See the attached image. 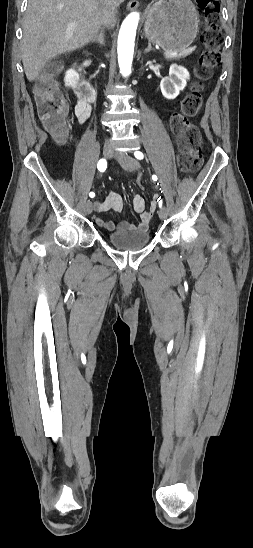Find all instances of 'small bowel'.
Here are the masks:
<instances>
[{
  "instance_id": "obj_1",
  "label": "small bowel",
  "mask_w": 253,
  "mask_h": 548,
  "mask_svg": "<svg viewBox=\"0 0 253 548\" xmlns=\"http://www.w3.org/2000/svg\"><path fill=\"white\" fill-rule=\"evenodd\" d=\"M75 113L80 122L86 121L91 113L90 103L88 101L79 99L75 107ZM131 203L134 210L140 216L137 224H131L126 221H121L115 224L113 222H106L98 216L95 217L96 224L109 230L116 231H146L154 214L157 197L153 198L151 202V208L149 210H146L145 201L140 195H133L131 198ZM123 209L124 199L119 193L115 191H110L103 201H98L95 203V210L97 212H106L109 210L121 212Z\"/></svg>"
}]
</instances>
